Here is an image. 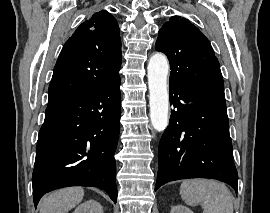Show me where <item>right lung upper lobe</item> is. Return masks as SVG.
<instances>
[{"mask_svg":"<svg viewBox=\"0 0 270 213\" xmlns=\"http://www.w3.org/2000/svg\"><path fill=\"white\" fill-rule=\"evenodd\" d=\"M120 30L107 11L95 13L64 44L54 67L48 100L83 95L120 80Z\"/></svg>","mask_w":270,"mask_h":213,"instance_id":"cb5924a9","label":"right lung upper lobe"}]
</instances>
